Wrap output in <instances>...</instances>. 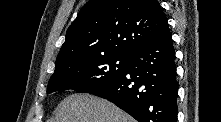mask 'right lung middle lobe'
I'll return each instance as SVG.
<instances>
[{
  "label": "right lung middle lobe",
  "mask_w": 221,
  "mask_h": 122,
  "mask_svg": "<svg viewBox=\"0 0 221 122\" xmlns=\"http://www.w3.org/2000/svg\"><path fill=\"white\" fill-rule=\"evenodd\" d=\"M130 58L126 55H106L74 65L52 76L47 92L70 89L78 93H92L119 77L126 70Z\"/></svg>",
  "instance_id": "obj_1"
}]
</instances>
